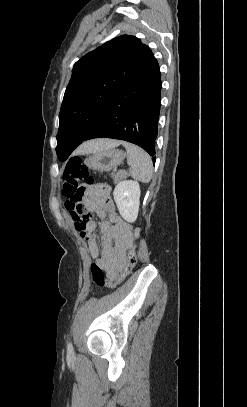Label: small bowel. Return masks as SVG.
Masks as SVG:
<instances>
[{
    "label": "small bowel",
    "mask_w": 247,
    "mask_h": 407,
    "mask_svg": "<svg viewBox=\"0 0 247 407\" xmlns=\"http://www.w3.org/2000/svg\"><path fill=\"white\" fill-rule=\"evenodd\" d=\"M65 208L91 256L107 278L115 280L126 265L133 235L131 227L116 212L110 198V187L98 185L91 188L82 202L74 204L68 199ZM92 213L102 219L100 237Z\"/></svg>",
    "instance_id": "obj_1"
}]
</instances>
